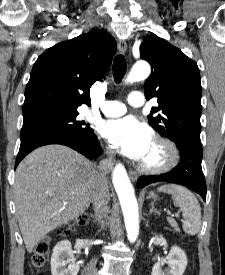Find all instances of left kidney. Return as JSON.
<instances>
[{
    "label": "left kidney",
    "mask_w": 225,
    "mask_h": 275,
    "mask_svg": "<svg viewBox=\"0 0 225 275\" xmlns=\"http://www.w3.org/2000/svg\"><path fill=\"white\" fill-rule=\"evenodd\" d=\"M187 262L185 252L181 248L173 246L167 258L153 266L151 275H183ZM164 264L168 265L165 270H163Z\"/></svg>",
    "instance_id": "5707ae66"
}]
</instances>
